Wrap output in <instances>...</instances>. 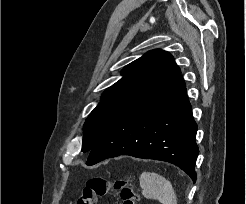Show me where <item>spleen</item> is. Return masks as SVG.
<instances>
[{"instance_id":"spleen-1","label":"spleen","mask_w":246,"mask_h":204,"mask_svg":"<svg viewBox=\"0 0 246 204\" xmlns=\"http://www.w3.org/2000/svg\"><path fill=\"white\" fill-rule=\"evenodd\" d=\"M142 194L147 199L162 204H177V196L171 182L154 172H143L139 178Z\"/></svg>"}]
</instances>
